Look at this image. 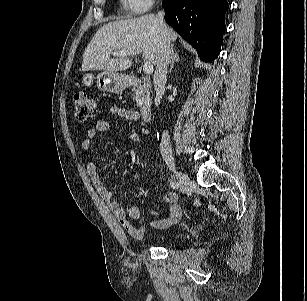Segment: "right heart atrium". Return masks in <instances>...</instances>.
Wrapping results in <instances>:
<instances>
[{
	"label": "right heart atrium",
	"mask_w": 307,
	"mask_h": 301,
	"mask_svg": "<svg viewBox=\"0 0 307 301\" xmlns=\"http://www.w3.org/2000/svg\"><path fill=\"white\" fill-rule=\"evenodd\" d=\"M157 0H123V3L130 11L142 13L150 9Z\"/></svg>",
	"instance_id": "right-heart-atrium-1"
}]
</instances>
